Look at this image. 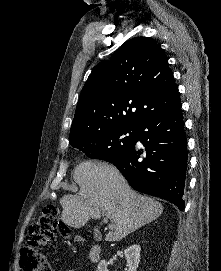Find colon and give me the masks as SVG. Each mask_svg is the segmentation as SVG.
Returning <instances> with one entry per match:
<instances>
[{
	"instance_id": "1",
	"label": "colon",
	"mask_w": 221,
	"mask_h": 271,
	"mask_svg": "<svg viewBox=\"0 0 221 271\" xmlns=\"http://www.w3.org/2000/svg\"><path fill=\"white\" fill-rule=\"evenodd\" d=\"M60 219L56 205L43 207L41 214L33 221L29 241L20 248L21 271H51L46 256L39 248L53 241L57 232L68 234V228H60Z\"/></svg>"
}]
</instances>
